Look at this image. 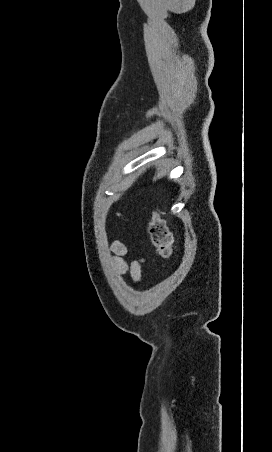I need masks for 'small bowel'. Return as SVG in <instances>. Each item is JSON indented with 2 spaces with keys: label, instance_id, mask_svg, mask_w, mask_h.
I'll use <instances>...</instances> for the list:
<instances>
[{
  "label": "small bowel",
  "instance_id": "1",
  "mask_svg": "<svg viewBox=\"0 0 272 452\" xmlns=\"http://www.w3.org/2000/svg\"><path fill=\"white\" fill-rule=\"evenodd\" d=\"M112 264L120 275L130 274L134 282H138L141 278V267L143 259L128 263L125 257L128 254L127 247L120 241L115 240L110 248Z\"/></svg>",
  "mask_w": 272,
  "mask_h": 452
}]
</instances>
